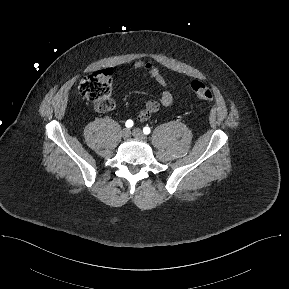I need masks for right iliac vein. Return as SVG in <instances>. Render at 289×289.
Here are the masks:
<instances>
[{"label": "right iliac vein", "mask_w": 289, "mask_h": 289, "mask_svg": "<svg viewBox=\"0 0 289 289\" xmlns=\"http://www.w3.org/2000/svg\"><path fill=\"white\" fill-rule=\"evenodd\" d=\"M130 136H131V131L129 129H127V128L123 129L122 137L124 139H128V138H130Z\"/></svg>", "instance_id": "63e3f726"}]
</instances>
